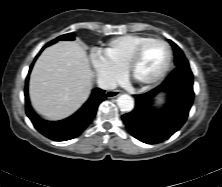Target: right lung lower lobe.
Instances as JSON below:
<instances>
[{
  "instance_id": "98d812e1",
  "label": "right lung lower lobe",
  "mask_w": 222,
  "mask_h": 187,
  "mask_svg": "<svg viewBox=\"0 0 222 187\" xmlns=\"http://www.w3.org/2000/svg\"><path fill=\"white\" fill-rule=\"evenodd\" d=\"M31 69L32 66L30 71ZM28 79L29 76L26 78L25 87L26 114L41 134L54 141H66L79 136L93 120L99 104L106 99L105 91L95 88L88 101L75 114L61 121H46L37 116L31 108L28 97Z\"/></svg>"
}]
</instances>
